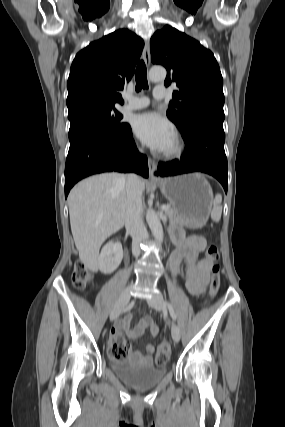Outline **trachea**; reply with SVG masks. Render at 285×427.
<instances>
[{"label":"trachea","mask_w":285,"mask_h":427,"mask_svg":"<svg viewBox=\"0 0 285 427\" xmlns=\"http://www.w3.org/2000/svg\"><path fill=\"white\" fill-rule=\"evenodd\" d=\"M147 69L143 60H141L136 68L135 80H136V91L139 92L142 88H148L147 82Z\"/></svg>","instance_id":"obj_1"}]
</instances>
